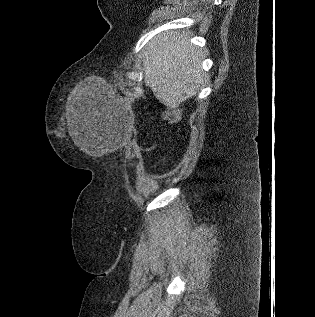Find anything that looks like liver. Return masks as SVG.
I'll use <instances>...</instances> for the list:
<instances>
[{
	"instance_id": "6515ba94",
	"label": "liver",
	"mask_w": 315,
	"mask_h": 317,
	"mask_svg": "<svg viewBox=\"0 0 315 317\" xmlns=\"http://www.w3.org/2000/svg\"><path fill=\"white\" fill-rule=\"evenodd\" d=\"M190 32L159 34L149 42L143 59L144 83L165 106L177 108L196 95L203 82L201 62L204 51L190 44ZM67 119L74 143L89 152L87 140L82 138L83 122L79 110L72 107Z\"/></svg>"
}]
</instances>
